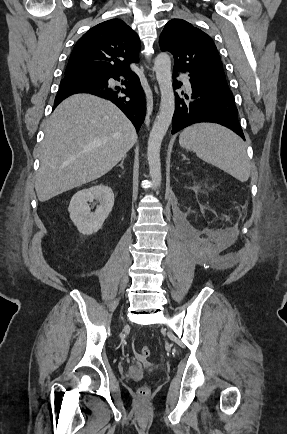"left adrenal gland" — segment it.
<instances>
[{"instance_id": "a2214340", "label": "left adrenal gland", "mask_w": 287, "mask_h": 434, "mask_svg": "<svg viewBox=\"0 0 287 434\" xmlns=\"http://www.w3.org/2000/svg\"><path fill=\"white\" fill-rule=\"evenodd\" d=\"M182 157H183L184 160L187 159V158L185 157V155H183V154H182Z\"/></svg>"}]
</instances>
